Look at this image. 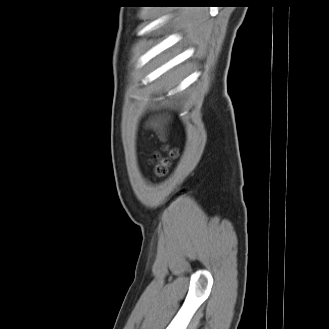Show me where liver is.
<instances>
[{"mask_svg":"<svg viewBox=\"0 0 329 329\" xmlns=\"http://www.w3.org/2000/svg\"><path fill=\"white\" fill-rule=\"evenodd\" d=\"M163 119H164V116H163ZM163 121L165 122V120H161V117H160L157 121H151L150 125L154 128V130H158V133L160 134V139L165 141V137L163 136L164 135Z\"/></svg>","mask_w":329,"mask_h":329,"instance_id":"liver-1","label":"liver"}]
</instances>
